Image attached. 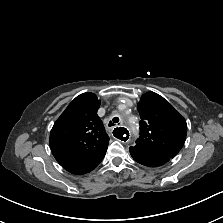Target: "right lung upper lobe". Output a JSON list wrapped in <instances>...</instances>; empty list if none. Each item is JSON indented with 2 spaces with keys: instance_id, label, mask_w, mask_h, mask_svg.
I'll return each mask as SVG.
<instances>
[{
  "instance_id": "1",
  "label": "right lung upper lobe",
  "mask_w": 223,
  "mask_h": 223,
  "mask_svg": "<svg viewBox=\"0 0 223 223\" xmlns=\"http://www.w3.org/2000/svg\"><path fill=\"white\" fill-rule=\"evenodd\" d=\"M99 106L95 94L83 93L69 104L51 130V151L72 174L92 171L106 154L109 137L97 115Z\"/></svg>"
}]
</instances>
